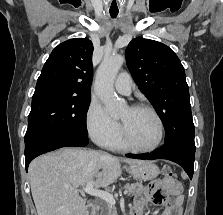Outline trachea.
I'll list each match as a JSON object with an SVG mask.
<instances>
[{"mask_svg": "<svg viewBox=\"0 0 223 215\" xmlns=\"http://www.w3.org/2000/svg\"><path fill=\"white\" fill-rule=\"evenodd\" d=\"M109 11L112 18H116V16L118 15V10H109Z\"/></svg>", "mask_w": 223, "mask_h": 215, "instance_id": "3493384b", "label": "trachea"}]
</instances>
